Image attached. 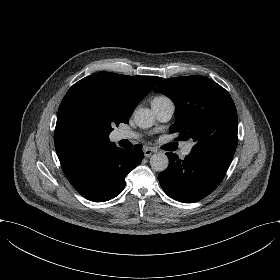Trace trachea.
Wrapping results in <instances>:
<instances>
[{"label":"trachea","mask_w":280,"mask_h":280,"mask_svg":"<svg viewBox=\"0 0 280 280\" xmlns=\"http://www.w3.org/2000/svg\"><path fill=\"white\" fill-rule=\"evenodd\" d=\"M165 148L168 150H176L178 148V145H176L175 143H172V144L166 145Z\"/></svg>","instance_id":"3493384b"}]
</instances>
